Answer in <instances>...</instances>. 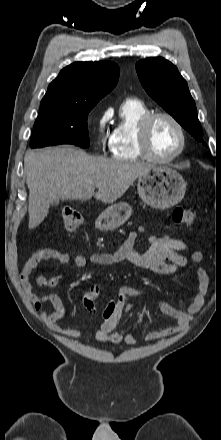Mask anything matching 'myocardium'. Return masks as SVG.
<instances>
[{
	"label": "myocardium",
	"instance_id": "myocardium-1",
	"mask_svg": "<svg viewBox=\"0 0 221 440\" xmlns=\"http://www.w3.org/2000/svg\"><path fill=\"white\" fill-rule=\"evenodd\" d=\"M158 118H166L177 128L180 136V146L170 157H159L154 154L150 147V129L154 121ZM138 144L144 158L156 163H170L177 159L185 150L187 144L186 132L180 121L172 114L165 111L150 112L144 116L138 124Z\"/></svg>",
	"mask_w": 221,
	"mask_h": 440
}]
</instances>
